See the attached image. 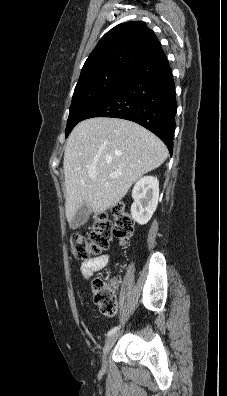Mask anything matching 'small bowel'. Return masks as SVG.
I'll list each match as a JSON object with an SVG mask.
<instances>
[{"mask_svg": "<svg viewBox=\"0 0 227 396\" xmlns=\"http://www.w3.org/2000/svg\"><path fill=\"white\" fill-rule=\"evenodd\" d=\"M109 261L108 255H101L95 258H92L88 261H85L81 265V273L84 278H90L95 272L103 269ZM113 286L116 287L117 283L114 282Z\"/></svg>", "mask_w": 227, "mask_h": 396, "instance_id": "1", "label": "small bowel"}]
</instances>
